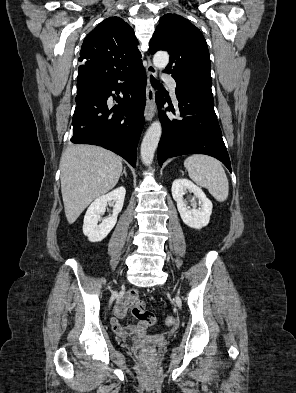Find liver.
I'll return each mask as SVG.
<instances>
[{"mask_svg": "<svg viewBox=\"0 0 296 393\" xmlns=\"http://www.w3.org/2000/svg\"><path fill=\"white\" fill-rule=\"evenodd\" d=\"M60 170L65 215L73 224L94 199L116 186L122 161L102 147L72 145L62 154Z\"/></svg>", "mask_w": 296, "mask_h": 393, "instance_id": "liver-1", "label": "liver"}]
</instances>
